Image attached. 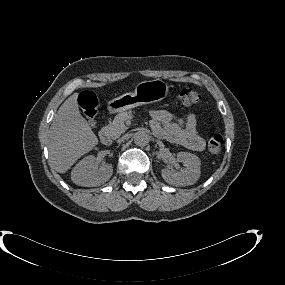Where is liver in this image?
Returning <instances> with one entry per match:
<instances>
[{"label": "liver", "instance_id": "1", "mask_svg": "<svg viewBox=\"0 0 285 285\" xmlns=\"http://www.w3.org/2000/svg\"><path fill=\"white\" fill-rule=\"evenodd\" d=\"M78 93L72 94L55 114L48 134L49 158L58 173H65L98 139L80 114Z\"/></svg>", "mask_w": 285, "mask_h": 285}]
</instances>
